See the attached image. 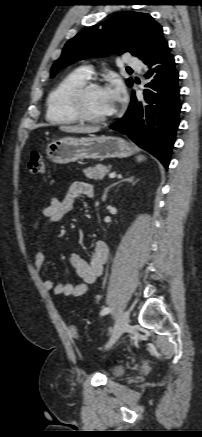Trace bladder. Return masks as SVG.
<instances>
[{"instance_id":"31cf9c89","label":"bladder","mask_w":202,"mask_h":437,"mask_svg":"<svg viewBox=\"0 0 202 437\" xmlns=\"http://www.w3.org/2000/svg\"><path fill=\"white\" fill-rule=\"evenodd\" d=\"M125 367L123 365H116L112 369V375L113 376H120L124 373Z\"/></svg>"}]
</instances>
